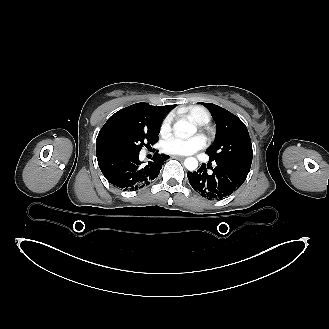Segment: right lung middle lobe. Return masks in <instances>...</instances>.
Masks as SVG:
<instances>
[{
    "label": "right lung middle lobe",
    "instance_id": "dd1d6c3e",
    "mask_svg": "<svg viewBox=\"0 0 329 329\" xmlns=\"http://www.w3.org/2000/svg\"><path fill=\"white\" fill-rule=\"evenodd\" d=\"M162 118L148 127H122L106 135L105 144L114 151H140L143 146L153 145L158 140Z\"/></svg>",
    "mask_w": 329,
    "mask_h": 329
}]
</instances>
